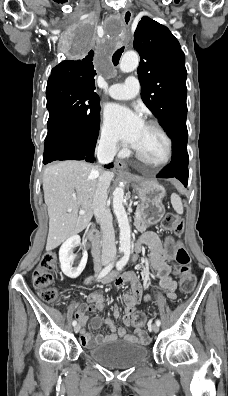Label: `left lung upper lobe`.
<instances>
[{
	"label": "left lung upper lobe",
	"mask_w": 228,
	"mask_h": 396,
	"mask_svg": "<svg viewBox=\"0 0 228 396\" xmlns=\"http://www.w3.org/2000/svg\"><path fill=\"white\" fill-rule=\"evenodd\" d=\"M134 37L142 100L165 129L176 116L187 114L185 55L170 30L149 17L141 19Z\"/></svg>",
	"instance_id": "left-lung-upper-lobe-1"
}]
</instances>
